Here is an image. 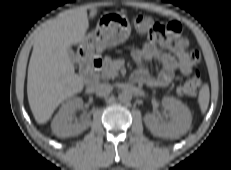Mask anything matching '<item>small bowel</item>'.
<instances>
[{
  "mask_svg": "<svg viewBox=\"0 0 231 170\" xmlns=\"http://www.w3.org/2000/svg\"><path fill=\"white\" fill-rule=\"evenodd\" d=\"M158 45L170 53L163 52ZM132 57L138 67L135 78L149 87H167L172 83L176 72L189 75L199 62V53L189 50V41L182 36V26L177 21L165 25V35L162 38H150L134 49ZM153 60L162 65L157 75H152L148 69V63Z\"/></svg>",
  "mask_w": 231,
  "mask_h": 170,
  "instance_id": "small-bowel-1",
  "label": "small bowel"
}]
</instances>
